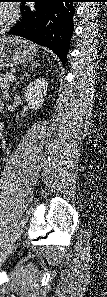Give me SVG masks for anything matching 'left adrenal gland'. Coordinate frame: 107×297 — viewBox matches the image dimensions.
<instances>
[{
    "mask_svg": "<svg viewBox=\"0 0 107 297\" xmlns=\"http://www.w3.org/2000/svg\"><path fill=\"white\" fill-rule=\"evenodd\" d=\"M33 66H36L37 67V65L32 64V68H34Z\"/></svg>",
    "mask_w": 107,
    "mask_h": 297,
    "instance_id": "left-adrenal-gland-1",
    "label": "left adrenal gland"
}]
</instances>
